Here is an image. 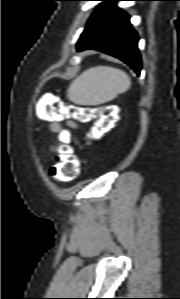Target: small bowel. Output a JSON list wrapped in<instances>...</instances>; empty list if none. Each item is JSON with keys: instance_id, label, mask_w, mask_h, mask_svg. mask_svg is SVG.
I'll return each mask as SVG.
<instances>
[{"instance_id": "1", "label": "small bowel", "mask_w": 180, "mask_h": 299, "mask_svg": "<svg viewBox=\"0 0 180 299\" xmlns=\"http://www.w3.org/2000/svg\"><path fill=\"white\" fill-rule=\"evenodd\" d=\"M66 124L69 127H72V128H76L77 127V124L75 122L71 121V120H66ZM50 128L55 133H60L62 131V126H61V124H60L59 121H53L50 124Z\"/></svg>"}]
</instances>
